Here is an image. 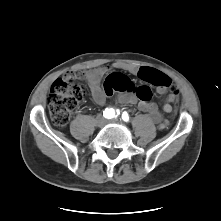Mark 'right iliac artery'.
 Returning a JSON list of instances; mask_svg holds the SVG:
<instances>
[{"label": "right iliac artery", "mask_w": 221, "mask_h": 221, "mask_svg": "<svg viewBox=\"0 0 221 221\" xmlns=\"http://www.w3.org/2000/svg\"><path fill=\"white\" fill-rule=\"evenodd\" d=\"M117 114H119V111L115 112L112 108H106L105 111H103V116L107 119H112L117 117Z\"/></svg>", "instance_id": "right-iliac-artery-1"}]
</instances>
